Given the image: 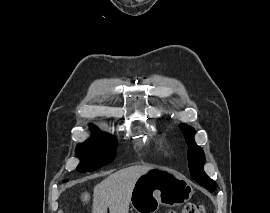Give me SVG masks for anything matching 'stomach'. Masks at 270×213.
Masks as SVG:
<instances>
[{
	"label": "stomach",
	"mask_w": 270,
	"mask_h": 213,
	"mask_svg": "<svg viewBox=\"0 0 270 213\" xmlns=\"http://www.w3.org/2000/svg\"><path fill=\"white\" fill-rule=\"evenodd\" d=\"M193 188L188 179L166 168H153L140 176L130 203L137 213H155L160 205L176 207L190 200Z\"/></svg>",
	"instance_id": "stomach-1"
}]
</instances>
